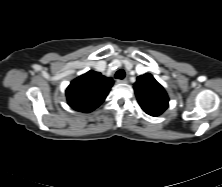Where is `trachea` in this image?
<instances>
[{"label": "trachea", "instance_id": "3493384b", "mask_svg": "<svg viewBox=\"0 0 222 187\" xmlns=\"http://www.w3.org/2000/svg\"><path fill=\"white\" fill-rule=\"evenodd\" d=\"M124 77H125V71L123 69L118 70L115 74L116 79H123Z\"/></svg>", "mask_w": 222, "mask_h": 187}]
</instances>
